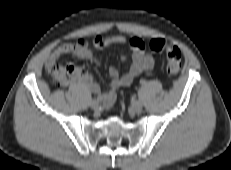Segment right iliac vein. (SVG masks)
<instances>
[{"label":"right iliac vein","mask_w":231,"mask_h":170,"mask_svg":"<svg viewBox=\"0 0 231 170\" xmlns=\"http://www.w3.org/2000/svg\"><path fill=\"white\" fill-rule=\"evenodd\" d=\"M90 106H91V108H92L93 110H97V109H99V107H100V102H99L98 100L94 99V100H92V101L90 102Z\"/></svg>","instance_id":"63e3f726"}]
</instances>
